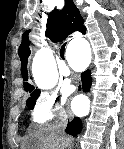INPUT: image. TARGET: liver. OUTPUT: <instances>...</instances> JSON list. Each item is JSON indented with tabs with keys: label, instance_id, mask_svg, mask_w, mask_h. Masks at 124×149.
<instances>
[{
	"label": "liver",
	"instance_id": "6515ba94",
	"mask_svg": "<svg viewBox=\"0 0 124 149\" xmlns=\"http://www.w3.org/2000/svg\"><path fill=\"white\" fill-rule=\"evenodd\" d=\"M68 139L57 133L53 127L41 128L25 138L22 149L38 146V149H63Z\"/></svg>",
	"mask_w": 124,
	"mask_h": 149
}]
</instances>
